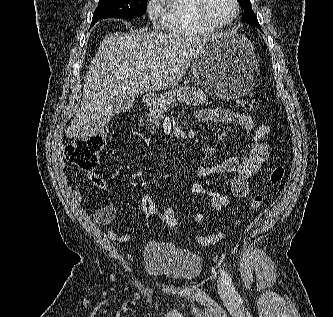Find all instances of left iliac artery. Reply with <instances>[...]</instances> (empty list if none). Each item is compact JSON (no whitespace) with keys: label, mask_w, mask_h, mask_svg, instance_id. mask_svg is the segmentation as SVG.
Segmentation results:
<instances>
[{"label":"left iliac artery","mask_w":333,"mask_h":317,"mask_svg":"<svg viewBox=\"0 0 333 317\" xmlns=\"http://www.w3.org/2000/svg\"><path fill=\"white\" fill-rule=\"evenodd\" d=\"M221 275H222L223 281L225 282V284L228 288V291L232 295H237V291L235 290L234 284H233L232 279L229 276V274L226 271L221 270Z\"/></svg>","instance_id":"obj_1"}]
</instances>
